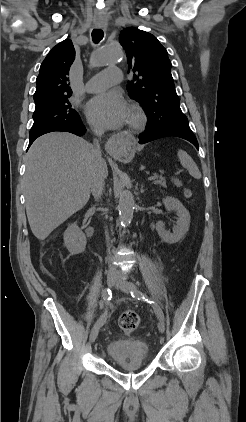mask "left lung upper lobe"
I'll return each mask as SVG.
<instances>
[{"label": "left lung upper lobe", "mask_w": 246, "mask_h": 422, "mask_svg": "<svg viewBox=\"0 0 246 422\" xmlns=\"http://www.w3.org/2000/svg\"><path fill=\"white\" fill-rule=\"evenodd\" d=\"M119 42L126 51L128 72L136 73L127 91L145 108L147 128L189 125L180 109L168 53L157 38L130 27L121 31Z\"/></svg>", "instance_id": "left-lung-upper-lobe-1"}]
</instances>
